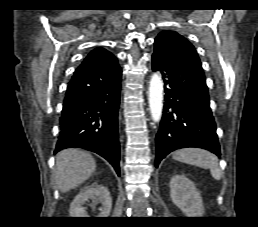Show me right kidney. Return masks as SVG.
<instances>
[{
	"label": "right kidney",
	"instance_id": "1",
	"mask_svg": "<svg viewBox=\"0 0 258 227\" xmlns=\"http://www.w3.org/2000/svg\"><path fill=\"white\" fill-rule=\"evenodd\" d=\"M92 200L93 202H100L102 207L99 209L100 213L97 217H108L112 208V198L109 190L98 184L85 187L80 193L74 198L70 205V216L71 217H88L86 208L83 205Z\"/></svg>",
	"mask_w": 258,
	"mask_h": 227
}]
</instances>
